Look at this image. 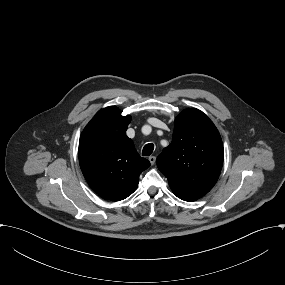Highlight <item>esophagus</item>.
Listing matches in <instances>:
<instances>
[{"label":"esophagus","mask_w":285,"mask_h":285,"mask_svg":"<svg viewBox=\"0 0 285 285\" xmlns=\"http://www.w3.org/2000/svg\"><path fill=\"white\" fill-rule=\"evenodd\" d=\"M148 159H149L151 165H154V163L156 161V157L155 156H150Z\"/></svg>","instance_id":"obj_1"}]
</instances>
